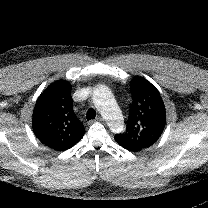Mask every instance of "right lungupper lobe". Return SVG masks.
I'll use <instances>...</instances> for the list:
<instances>
[{"instance_id": "right-lung-upper-lobe-1", "label": "right lung upper lobe", "mask_w": 208, "mask_h": 208, "mask_svg": "<svg viewBox=\"0 0 208 208\" xmlns=\"http://www.w3.org/2000/svg\"><path fill=\"white\" fill-rule=\"evenodd\" d=\"M32 125L37 138L57 151L67 150L81 140L85 129L74 113L68 81L58 80L41 93L33 110Z\"/></svg>"}]
</instances>
